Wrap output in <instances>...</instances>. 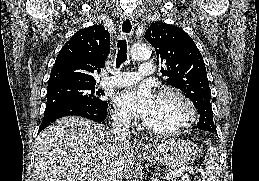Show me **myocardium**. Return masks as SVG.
I'll return each instance as SVG.
<instances>
[{"label": "myocardium", "instance_id": "1", "mask_svg": "<svg viewBox=\"0 0 259 181\" xmlns=\"http://www.w3.org/2000/svg\"><path fill=\"white\" fill-rule=\"evenodd\" d=\"M164 95H171L181 102L185 109L184 120L179 125L171 128H154L144 123L145 130L158 136H171L189 129L196 121V110L192 101L181 89L172 85L163 86L156 93V97Z\"/></svg>", "mask_w": 259, "mask_h": 181}]
</instances>
